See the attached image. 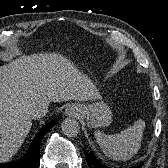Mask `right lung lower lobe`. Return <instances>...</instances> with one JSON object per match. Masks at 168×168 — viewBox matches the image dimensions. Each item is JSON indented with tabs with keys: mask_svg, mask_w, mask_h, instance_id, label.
Instances as JSON below:
<instances>
[{
	"mask_svg": "<svg viewBox=\"0 0 168 168\" xmlns=\"http://www.w3.org/2000/svg\"><path fill=\"white\" fill-rule=\"evenodd\" d=\"M55 124L56 121H53L43 127L40 133L34 138L23 158L15 163L2 164L0 165V168H38L40 161V143L46 132H48Z\"/></svg>",
	"mask_w": 168,
	"mask_h": 168,
	"instance_id": "obj_1",
	"label": "right lung lower lobe"
}]
</instances>
